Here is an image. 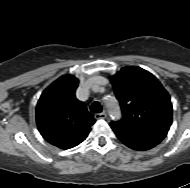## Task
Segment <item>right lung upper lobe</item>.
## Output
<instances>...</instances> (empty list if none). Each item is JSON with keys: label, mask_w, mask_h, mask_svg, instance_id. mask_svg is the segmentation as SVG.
Instances as JSON below:
<instances>
[{"label": "right lung upper lobe", "mask_w": 190, "mask_h": 188, "mask_svg": "<svg viewBox=\"0 0 190 188\" xmlns=\"http://www.w3.org/2000/svg\"><path fill=\"white\" fill-rule=\"evenodd\" d=\"M78 83L73 75L61 76L44 90L37 103L38 130L47 142L61 149L84 141L95 123L85 104L75 97Z\"/></svg>", "instance_id": "obj_1"}]
</instances>
